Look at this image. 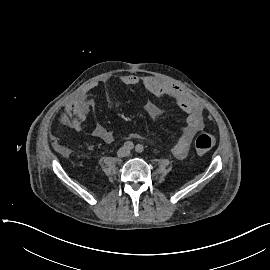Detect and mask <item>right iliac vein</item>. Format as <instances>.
Masks as SVG:
<instances>
[{"mask_svg": "<svg viewBox=\"0 0 270 270\" xmlns=\"http://www.w3.org/2000/svg\"><path fill=\"white\" fill-rule=\"evenodd\" d=\"M125 154V149L122 148L118 151V156L122 157Z\"/></svg>", "mask_w": 270, "mask_h": 270, "instance_id": "1", "label": "right iliac vein"}]
</instances>
